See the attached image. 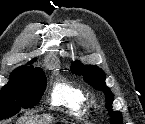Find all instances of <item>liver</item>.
<instances>
[{
	"instance_id": "obj_1",
	"label": "liver",
	"mask_w": 145,
	"mask_h": 124,
	"mask_svg": "<svg viewBox=\"0 0 145 124\" xmlns=\"http://www.w3.org/2000/svg\"><path fill=\"white\" fill-rule=\"evenodd\" d=\"M52 123V117L43 115V116H37V117H24L21 120L18 121L17 124H51Z\"/></svg>"
}]
</instances>
